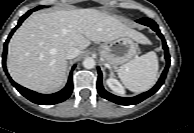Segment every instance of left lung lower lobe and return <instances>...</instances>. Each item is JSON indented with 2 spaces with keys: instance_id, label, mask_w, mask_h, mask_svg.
<instances>
[{
  "instance_id": "left-lung-lower-lobe-1",
  "label": "left lung lower lobe",
  "mask_w": 194,
  "mask_h": 133,
  "mask_svg": "<svg viewBox=\"0 0 194 133\" xmlns=\"http://www.w3.org/2000/svg\"><path fill=\"white\" fill-rule=\"evenodd\" d=\"M138 23L149 26L151 29H153L158 36L162 39L163 42V49L165 50V59H166V67L160 77V79L158 80L157 84L150 89L149 91L142 93L138 96L135 97H130V98H124V97H118L115 96L109 92H107L102 85V73L100 68H98V81H97V90L99 92V94L109 100L112 101L116 104H120V105H134V104H138L141 101H143L144 99L150 97L151 95H153L154 93H156L158 91V89L162 86V84L164 83L168 68L170 66V55H169V51H168V46L166 45V41L163 37V35L161 34V32L159 31L158 25L151 19L149 18H142L140 20H137Z\"/></svg>"
}]
</instances>
